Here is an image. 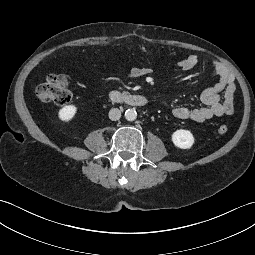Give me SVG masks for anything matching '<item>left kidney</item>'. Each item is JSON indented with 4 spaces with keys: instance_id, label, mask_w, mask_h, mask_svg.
I'll return each mask as SVG.
<instances>
[{
    "instance_id": "left-kidney-1",
    "label": "left kidney",
    "mask_w": 255,
    "mask_h": 255,
    "mask_svg": "<svg viewBox=\"0 0 255 255\" xmlns=\"http://www.w3.org/2000/svg\"><path fill=\"white\" fill-rule=\"evenodd\" d=\"M174 145L180 149H190L194 144V136L189 130H176L172 134Z\"/></svg>"
}]
</instances>
